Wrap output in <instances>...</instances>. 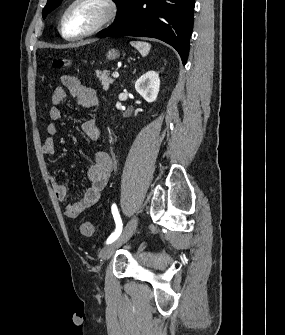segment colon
Returning <instances> with one entry per match:
<instances>
[{
  "mask_svg": "<svg viewBox=\"0 0 285 335\" xmlns=\"http://www.w3.org/2000/svg\"><path fill=\"white\" fill-rule=\"evenodd\" d=\"M52 66L58 70L67 69L70 66V61L64 58H55L52 60ZM80 232L85 237H90L94 234V225L89 221H84L80 224Z\"/></svg>",
  "mask_w": 285,
  "mask_h": 335,
  "instance_id": "5ec220e1",
  "label": "colon"
}]
</instances>
